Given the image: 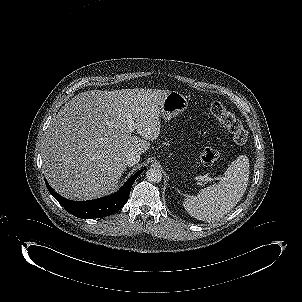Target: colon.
Returning a JSON list of instances; mask_svg holds the SVG:
<instances>
[{"label":"colon","instance_id":"colon-1","mask_svg":"<svg viewBox=\"0 0 302 302\" xmlns=\"http://www.w3.org/2000/svg\"><path fill=\"white\" fill-rule=\"evenodd\" d=\"M210 110L212 115L229 130L236 144L243 145L246 143L247 131L234 114L229 112L221 102H213ZM218 156V149L214 146H208L201 153V161L205 164H211L217 160Z\"/></svg>","mask_w":302,"mask_h":302}]
</instances>
